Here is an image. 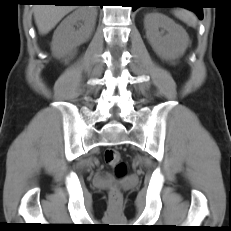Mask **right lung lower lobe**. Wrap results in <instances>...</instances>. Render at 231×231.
<instances>
[{
	"label": "right lung lower lobe",
	"instance_id": "98d812e1",
	"mask_svg": "<svg viewBox=\"0 0 231 231\" xmlns=\"http://www.w3.org/2000/svg\"><path fill=\"white\" fill-rule=\"evenodd\" d=\"M79 0H35V2L39 3H53L55 5H75Z\"/></svg>",
	"mask_w": 231,
	"mask_h": 231
}]
</instances>
